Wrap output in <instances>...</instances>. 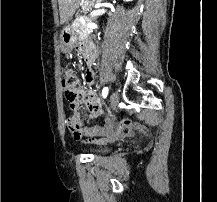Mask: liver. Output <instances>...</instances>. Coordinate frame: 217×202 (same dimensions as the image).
<instances>
[{
  "label": "liver",
  "instance_id": "6515ba94",
  "mask_svg": "<svg viewBox=\"0 0 217 202\" xmlns=\"http://www.w3.org/2000/svg\"><path fill=\"white\" fill-rule=\"evenodd\" d=\"M81 0H58L60 12V24L68 22L74 16L80 6Z\"/></svg>",
  "mask_w": 217,
  "mask_h": 202
}]
</instances>
